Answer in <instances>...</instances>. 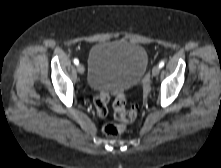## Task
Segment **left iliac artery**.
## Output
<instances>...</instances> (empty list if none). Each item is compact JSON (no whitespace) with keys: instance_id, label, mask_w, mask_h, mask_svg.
<instances>
[{"instance_id":"obj_1","label":"left iliac artery","mask_w":221,"mask_h":168,"mask_svg":"<svg viewBox=\"0 0 221 168\" xmlns=\"http://www.w3.org/2000/svg\"><path fill=\"white\" fill-rule=\"evenodd\" d=\"M164 65H165V62H164V61H161L158 66H159L160 68H162Z\"/></svg>"}]
</instances>
